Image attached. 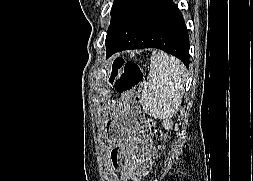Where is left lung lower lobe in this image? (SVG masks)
<instances>
[{"label": "left lung lower lobe", "mask_w": 253, "mask_h": 181, "mask_svg": "<svg viewBox=\"0 0 253 181\" xmlns=\"http://www.w3.org/2000/svg\"><path fill=\"white\" fill-rule=\"evenodd\" d=\"M158 48L189 67V37L172 0H132L106 36L107 57L127 49Z\"/></svg>", "instance_id": "obj_1"}]
</instances>
